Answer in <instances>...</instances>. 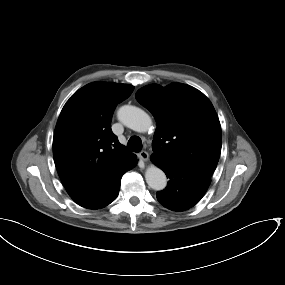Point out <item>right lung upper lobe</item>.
Masks as SVG:
<instances>
[{
    "mask_svg": "<svg viewBox=\"0 0 285 285\" xmlns=\"http://www.w3.org/2000/svg\"><path fill=\"white\" fill-rule=\"evenodd\" d=\"M133 90L128 84L90 83L60 113L53 138L54 162L66 191L82 207L103 199L136 158L111 130L117 104Z\"/></svg>",
    "mask_w": 285,
    "mask_h": 285,
    "instance_id": "right-lung-upper-lobe-1",
    "label": "right lung upper lobe"
}]
</instances>
